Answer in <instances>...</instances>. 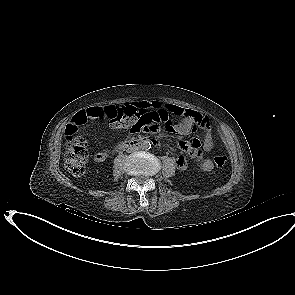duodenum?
<instances>
[{"label": "duodenum", "mask_w": 295, "mask_h": 295, "mask_svg": "<svg viewBox=\"0 0 295 295\" xmlns=\"http://www.w3.org/2000/svg\"><path fill=\"white\" fill-rule=\"evenodd\" d=\"M151 141L148 138L139 137V138H132L130 140L122 142L118 148L119 149H126V148H137L144 144L145 142Z\"/></svg>", "instance_id": "1"}]
</instances>
